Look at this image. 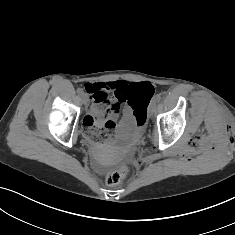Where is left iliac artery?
Listing matches in <instances>:
<instances>
[{
    "instance_id": "obj_1",
    "label": "left iliac artery",
    "mask_w": 235,
    "mask_h": 235,
    "mask_svg": "<svg viewBox=\"0 0 235 235\" xmlns=\"http://www.w3.org/2000/svg\"><path fill=\"white\" fill-rule=\"evenodd\" d=\"M161 99V95L160 94H157L155 97H154V101L158 102L160 101Z\"/></svg>"
}]
</instances>
